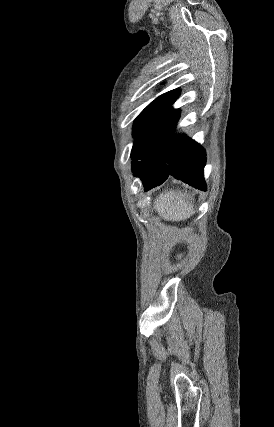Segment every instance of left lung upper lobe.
Returning a JSON list of instances; mask_svg holds the SVG:
<instances>
[{"label": "left lung upper lobe", "instance_id": "obj_1", "mask_svg": "<svg viewBox=\"0 0 274 427\" xmlns=\"http://www.w3.org/2000/svg\"><path fill=\"white\" fill-rule=\"evenodd\" d=\"M179 96V90L175 89L162 94L152 101L135 119L133 125V135L135 137L134 146L131 152L132 166L136 161L140 144L149 129L169 110L170 106Z\"/></svg>", "mask_w": 274, "mask_h": 427}]
</instances>
